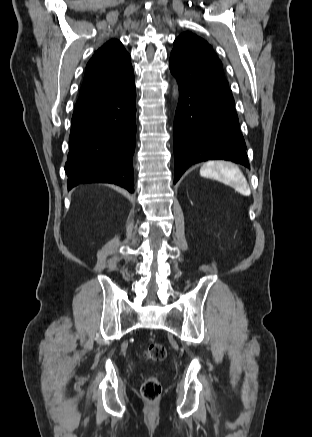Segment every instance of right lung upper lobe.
<instances>
[{
    "label": "right lung upper lobe",
    "mask_w": 312,
    "mask_h": 437,
    "mask_svg": "<svg viewBox=\"0 0 312 437\" xmlns=\"http://www.w3.org/2000/svg\"><path fill=\"white\" fill-rule=\"evenodd\" d=\"M132 74L130 55L122 43L116 39L108 41L89 60L76 105L114 90Z\"/></svg>",
    "instance_id": "cb5924a9"
}]
</instances>
